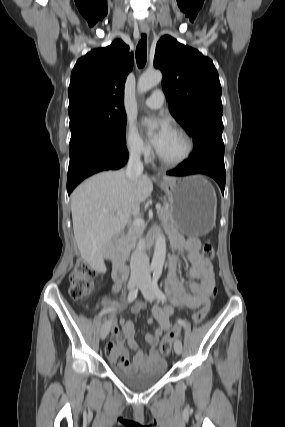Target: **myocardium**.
<instances>
[{"mask_svg": "<svg viewBox=\"0 0 285 427\" xmlns=\"http://www.w3.org/2000/svg\"><path fill=\"white\" fill-rule=\"evenodd\" d=\"M172 131L179 134L183 138V140L185 141V144H186V149H185L184 154L176 160L164 159L156 151V153H155L156 159L158 160V162L160 164H162L163 166H166V167H177V166L182 165L191 157V155L194 151V142H193L192 138L190 137V135L184 129H182L180 127H174V128H172Z\"/></svg>", "mask_w": 285, "mask_h": 427, "instance_id": "f54148a6", "label": "myocardium"}]
</instances>
